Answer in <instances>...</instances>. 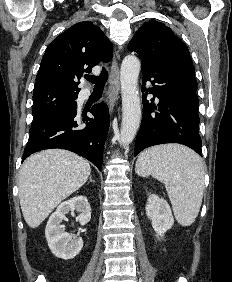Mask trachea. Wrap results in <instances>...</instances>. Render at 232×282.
I'll list each match as a JSON object with an SVG mask.
<instances>
[{"label": "trachea", "instance_id": "trachea-1", "mask_svg": "<svg viewBox=\"0 0 232 282\" xmlns=\"http://www.w3.org/2000/svg\"><path fill=\"white\" fill-rule=\"evenodd\" d=\"M85 78L95 84L93 89L95 92H102L104 89V85L108 79V72L103 69L99 76L87 75L85 76Z\"/></svg>", "mask_w": 232, "mask_h": 282}]
</instances>
